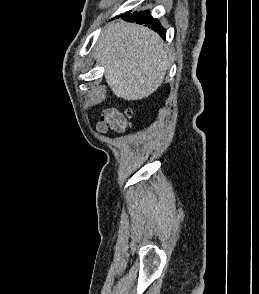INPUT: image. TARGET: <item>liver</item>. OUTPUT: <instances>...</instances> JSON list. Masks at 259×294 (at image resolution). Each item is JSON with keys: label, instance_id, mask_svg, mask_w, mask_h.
Returning <instances> with one entry per match:
<instances>
[{"label": "liver", "instance_id": "1", "mask_svg": "<svg viewBox=\"0 0 259 294\" xmlns=\"http://www.w3.org/2000/svg\"><path fill=\"white\" fill-rule=\"evenodd\" d=\"M112 92L127 101L148 97L162 84L169 56L157 33L125 21L109 24L95 47Z\"/></svg>", "mask_w": 259, "mask_h": 294}]
</instances>
